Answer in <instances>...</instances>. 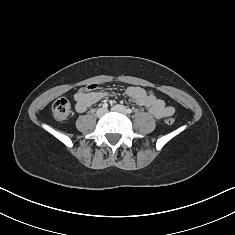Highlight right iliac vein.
Masks as SVG:
<instances>
[{
	"mask_svg": "<svg viewBox=\"0 0 235 235\" xmlns=\"http://www.w3.org/2000/svg\"><path fill=\"white\" fill-rule=\"evenodd\" d=\"M106 112H107L106 109H104V108H99V109L97 110L96 114H97L98 117H102V116H104V115L106 114Z\"/></svg>",
	"mask_w": 235,
	"mask_h": 235,
	"instance_id": "right-iliac-vein-1",
	"label": "right iliac vein"
}]
</instances>
